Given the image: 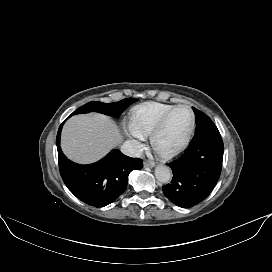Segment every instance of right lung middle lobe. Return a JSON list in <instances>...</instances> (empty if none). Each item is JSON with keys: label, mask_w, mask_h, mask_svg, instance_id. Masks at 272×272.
Segmentation results:
<instances>
[{"label": "right lung middle lobe", "mask_w": 272, "mask_h": 272, "mask_svg": "<svg viewBox=\"0 0 272 272\" xmlns=\"http://www.w3.org/2000/svg\"><path fill=\"white\" fill-rule=\"evenodd\" d=\"M136 99L126 98L119 102L113 103H103L99 101L89 102L82 107L75 110L71 115L89 113V112H99L110 116H116L120 114L128 105L135 102Z\"/></svg>", "instance_id": "right-lung-middle-lobe-1"}]
</instances>
